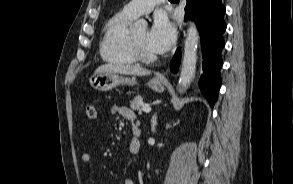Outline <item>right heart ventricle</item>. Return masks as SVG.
<instances>
[{
  "label": "right heart ventricle",
  "mask_w": 293,
  "mask_h": 184,
  "mask_svg": "<svg viewBox=\"0 0 293 184\" xmlns=\"http://www.w3.org/2000/svg\"><path fill=\"white\" fill-rule=\"evenodd\" d=\"M133 19L121 11L106 22L99 47L104 61L115 64H132L136 61L129 31V24Z\"/></svg>",
  "instance_id": "obj_1"
}]
</instances>
